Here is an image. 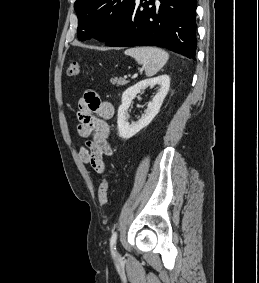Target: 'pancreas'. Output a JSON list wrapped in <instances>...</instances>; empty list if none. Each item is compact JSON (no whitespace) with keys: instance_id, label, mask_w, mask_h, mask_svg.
<instances>
[{"instance_id":"pancreas-1","label":"pancreas","mask_w":259,"mask_h":283,"mask_svg":"<svg viewBox=\"0 0 259 283\" xmlns=\"http://www.w3.org/2000/svg\"><path fill=\"white\" fill-rule=\"evenodd\" d=\"M111 83L114 84V85H117V86H123V85H126L127 83H129L128 80L124 79V78H112L111 79Z\"/></svg>"}]
</instances>
